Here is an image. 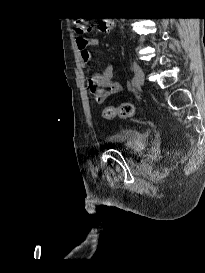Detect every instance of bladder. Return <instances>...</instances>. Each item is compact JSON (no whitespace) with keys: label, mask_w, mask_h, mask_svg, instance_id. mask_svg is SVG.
I'll list each match as a JSON object with an SVG mask.
<instances>
[{"label":"bladder","mask_w":205,"mask_h":273,"mask_svg":"<svg viewBox=\"0 0 205 273\" xmlns=\"http://www.w3.org/2000/svg\"><path fill=\"white\" fill-rule=\"evenodd\" d=\"M106 140L114 147L133 154L144 152L148 146L145 132L134 128L110 132L106 135Z\"/></svg>","instance_id":"1"}]
</instances>
